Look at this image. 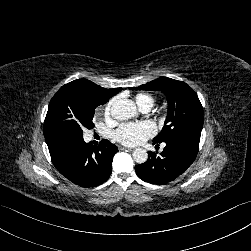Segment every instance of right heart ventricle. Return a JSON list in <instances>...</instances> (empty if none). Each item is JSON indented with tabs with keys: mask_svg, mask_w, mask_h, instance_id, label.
<instances>
[{
	"mask_svg": "<svg viewBox=\"0 0 251 251\" xmlns=\"http://www.w3.org/2000/svg\"><path fill=\"white\" fill-rule=\"evenodd\" d=\"M135 101L139 108H143L146 106L152 107L154 104V98L147 93H138L135 96Z\"/></svg>",
	"mask_w": 251,
	"mask_h": 251,
	"instance_id": "e07e8e85",
	"label": "right heart ventricle"
}]
</instances>
